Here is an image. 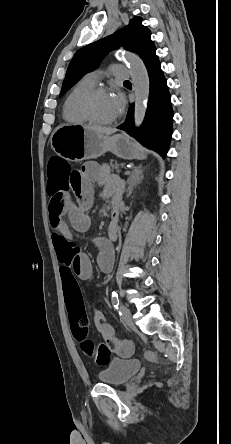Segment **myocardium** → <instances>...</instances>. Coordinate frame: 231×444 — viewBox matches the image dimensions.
<instances>
[{"instance_id": "obj_1", "label": "myocardium", "mask_w": 231, "mask_h": 444, "mask_svg": "<svg viewBox=\"0 0 231 444\" xmlns=\"http://www.w3.org/2000/svg\"><path fill=\"white\" fill-rule=\"evenodd\" d=\"M109 89L105 87H93L90 89L83 97L81 101V111L85 118L88 120V122H91L96 125H111L117 122L119 116H116L113 119L101 121L95 118L93 112H92V101L94 97H96L99 94H109Z\"/></svg>"}]
</instances>
